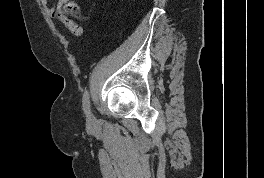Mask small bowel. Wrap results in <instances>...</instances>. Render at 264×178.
Segmentation results:
<instances>
[{
	"instance_id": "1",
	"label": "small bowel",
	"mask_w": 264,
	"mask_h": 178,
	"mask_svg": "<svg viewBox=\"0 0 264 178\" xmlns=\"http://www.w3.org/2000/svg\"><path fill=\"white\" fill-rule=\"evenodd\" d=\"M42 5L46 8L47 13L60 21L73 35L80 36L82 34V27L72 19L68 18L63 10L62 6L65 0H58L55 6H49L48 0H40Z\"/></svg>"
}]
</instances>
